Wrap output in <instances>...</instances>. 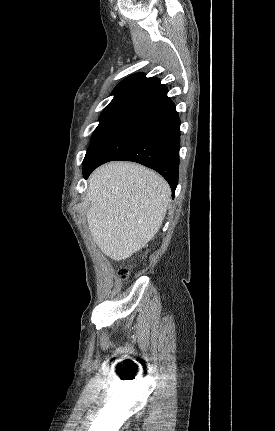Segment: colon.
Masks as SVG:
<instances>
[{"label":"colon","mask_w":275,"mask_h":431,"mask_svg":"<svg viewBox=\"0 0 275 431\" xmlns=\"http://www.w3.org/2000/svg\"><path fill=\"white\" fill-rule=\"evenodd\" d=\"M118 277L121 280H125L128 277V270L125 268H122L118 271Z\"/></svg>","instance_id":"obj_1"}]
</instances>
